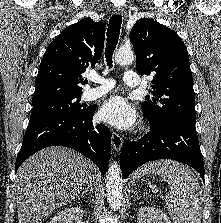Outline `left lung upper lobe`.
<instances>
[{
  "label": "left lung upper lobe",
  "mask_w": 221,
  "mask_h": 223,
  "mask_svg": "<svg viewBox=\"0 0 221 223\" xmlns=\"http://www.w3.org/2000/svg\"><path fill=\"white\" fill-rule=\"evenodd\" d=\"M139 74H155L153 97L142 103L150 124L161 126L175 117L195 119V94L187 49L180 37L148 18L139 19L130 33Z\"/></svg>",
  "instance_id": "5c2ea615"
}]
</instances>
